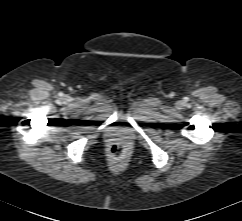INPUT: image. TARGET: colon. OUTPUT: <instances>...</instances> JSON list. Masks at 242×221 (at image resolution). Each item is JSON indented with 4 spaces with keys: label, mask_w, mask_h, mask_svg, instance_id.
I'll return each mask as SVG.
<instances>
[{
    "label": "colon",
    "mask_w": 242,
    "mask_h": 221,
    "mask_svg": "<svg viewBox=\"0 0 242 221\" xmlns=\"http://www.w3.org/2000/svg\"><path fill=\"white\" fill-rule=\"evenodd\" d=\"M110 152L112 155L114 156H122L123 155V149L120 145L118 144H113L111 147H110Z\"/></svg>",
    "instance_id": "5ec220e1"
}]
</instances>
